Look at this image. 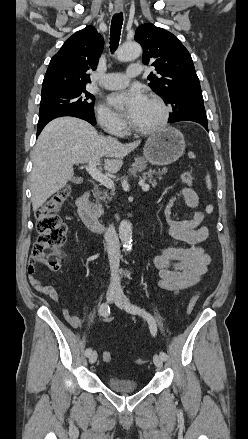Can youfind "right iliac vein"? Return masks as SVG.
Listing matches in <instances>:
<instances>
[{
    "label": "right iliac vein",
    "mask_w": 248,
    "mask_h": 439,
    "mask_svg": "<svg viewBox=\"0 0 248 439\" xmlns=\"http://www.w3.org/2000/svg\"><path fill=\"white\" fill-rule=\"evenodd\" d=\"M116 296H117L116 290L113 287H110L107 291V294H106V298H107L108 302H113L115 300ZM97 357H98V354L96 351L91 352L89 357H88L89 363L90 364L95 363L97 360Z\"/></svg>",
    "instance_id": "63e3f726"
}]
</instances>
